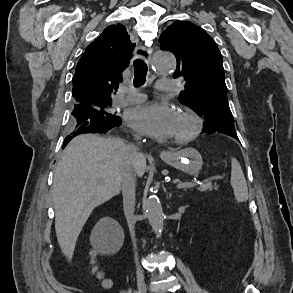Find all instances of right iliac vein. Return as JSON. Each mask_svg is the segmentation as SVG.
<instances>
[{"mask_svg": "<svg viewBox=\"0 0 293 293\" xmlns=\"http://www.w3.org/2000/svg\"><path fill=\"white\" fill-rule=\"evenodd\" d=\"M138 289L139 293H146L144 278L141 275L138 276Z\"/></svg>", "mask_w": 293, "mask_h": 293, "instance_id": "63e3f726", "label": "right iliac vein"}]
</instances>
